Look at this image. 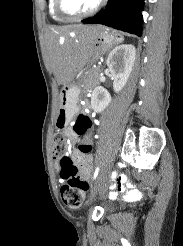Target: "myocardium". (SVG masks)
Returning a JSON list of instances; mask_svg holds the SVG:
<instances>
[{
  "mask_svg": "<svg viewBox=\"0 0 183 246\" xmlns=\"http://www.w3.org/2000/svg\"><path fill=\"white\" fill-rule=\"evenodd\" d=\"M105 0H98L96 2V4L89 9L86 12L80 13V14H72L70 12H68L65 8H64V2L63 0H54L55 2V10L57 12V14L62 17L63 19H67V20H81L84 18H87L89 16H92L93 14H95L103 5Z\"/></svg>",
  "mask_w": 183,
  "mask_h": 246,
  "instance_id": "obj_1",
  "label": "myocardium"
}]
</instances>
